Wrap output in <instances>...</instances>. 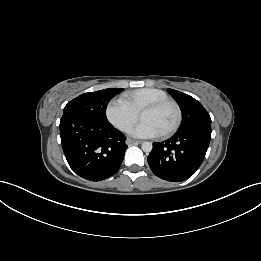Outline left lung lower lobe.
<instances>
[{"label": "left lung lower lobe", "instance_id": "1", "mask_svg": "<svg viewBox=\"0 0 261 261\" xmlns=\"http://www.w3.org/2000/svg\"><path fill=\"white\" fill-rule=\"evenodd\" d=\"M211 139V125L178 130L161 143H153L148 156L152 172L167 181L180 182L192 176L204 160Z\"/></svg>", "mask_w": 261, "mask_h": 261}]
</instances>
